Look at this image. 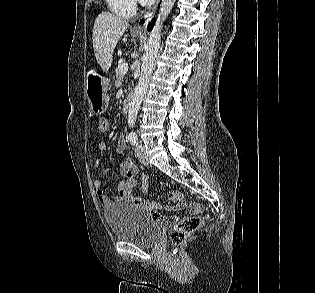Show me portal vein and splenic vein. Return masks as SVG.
I'll return each mask as SVG.
<instances>
[{"label": "portal vein and splenic vein", "instance_id": "portal-vein-and-splenic-vein-1", "mask_svg": "<svg viewBox=\"0 0 315 293\" xmlns=\"http://www.w3.org/2000/svg\"><path fill=\"white\" fill-rule=\"evenodd\" d=\"M127 71H128V64L125 63L121 69V73L124 75L126 74Z\"/></svg>", "mask_w": 315, "mask_h": 293}]
</instances>
